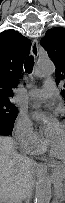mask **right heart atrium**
I'll return each mask as SVG.
<instances>
[{
    "instance_id": "d8ad5b80",
    "label": "right heart atrium",
    "mask_w": 65,
    "mask_h": 203,
    "mask_svg": "<svg viewBox=\"0 0 65 203\" xmlns=\"http://www.w3.org/2000/svg\"><path fill=\"white\" fill-rule=\"evenodd\" d=\"M15 137L21 149L27 152L37 151L45 146V140L34 129L26 116H21L15 126Z\"/></svg>"
}]
</instances>
